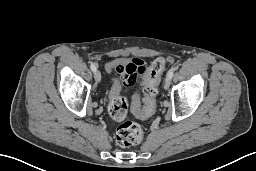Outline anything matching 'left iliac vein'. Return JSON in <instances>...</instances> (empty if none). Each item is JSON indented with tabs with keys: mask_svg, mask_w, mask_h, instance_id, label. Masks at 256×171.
<instances>
[{
	"mask_svg": "<svg viewBox=\"0 0 256 171\" xmlns=\"http://www.w3.org/2000/svg\"><path fill=\"white\" fill-rule=\"evenodd\" d=\"M171 83V79L170 78H166L165 83H164V89L167 90L170 86Z\"/></svg>",
	"mask_w": 256,
	"mask_h": 171,
	"instance_id": "4c4485c4",
	"label": "left iliac vein"
}]
</instances>
